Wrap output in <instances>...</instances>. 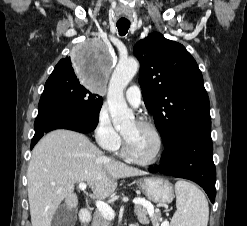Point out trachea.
I'll return each mask as SVG.
<instances>
[{"mask_svg": "<svg viewBox=\"0 0 247 226\" xmlns=\"http://www.w3.org/2000/svg\"><path fill=\"white\" fill-rule=\"evenodd\" d=\"M117 28L120 36L126 35L130 27V22H117Z\"/></svg>", "mask_w": 247, "mask_h": 226, "instance_id": "1", "label": "trachea"}]
</instances>
